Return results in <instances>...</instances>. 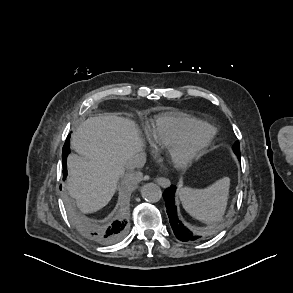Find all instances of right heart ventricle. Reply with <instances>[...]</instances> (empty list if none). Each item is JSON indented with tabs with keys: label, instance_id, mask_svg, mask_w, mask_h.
<instances>
[{
	"label": "right heart ventricle",
	"instance_id": "right-heart-ventricle-1",
	"mask_svg": "<svg viewBox=\"0 0 293 293\" xmlns=\"http://www.w3.org/2000/svg\"><path fill=\"white\" fill-rule=\"evenodd\" d=\"M200 122L182 112H165L156 116L146 127V136L154 148L166 149L179 142L186 131Z\"/></svg>",
	"mask_w": 293,
	"mask_h": 293
}]
</instances>
